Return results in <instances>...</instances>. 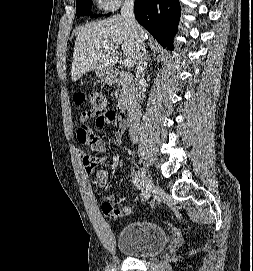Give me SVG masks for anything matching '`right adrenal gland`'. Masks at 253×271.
<instances>
[{
  "label": "right adrenal gland",
  "instance_id": "1",
  "mask_svg": "<svg viewBox=\"0 0 253 271\" xmlns=\"http://www.w3.org/2000/svg\"><path fill=\"white\" fill-rule=\"evenodd\" d=\"M148 61H149V55H148V57H147V59H146V61H145V69H147Z\"/></svg>",
  "mask_w": 253,
  "mask_h": 271
}]
</instances>
